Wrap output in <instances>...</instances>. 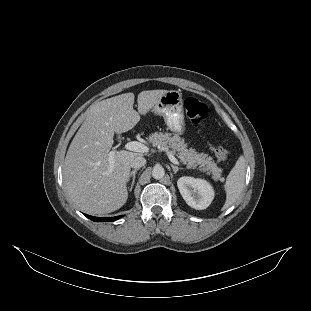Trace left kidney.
<instances>
[{"instance_id":"obj_1","label":"left kidney","mask_w":311,"mask_h":311,"mask_svg":"<svg viewBox=\"0 0 311 311\" xmlns=\"http://www.w3.org/2000/svg\"><path fill=\"white\" fill-rule=\"evenodd\" d=\"M180 194L185 202L194 209H206L213 199V190L200 179L181 177L177 181Z\"/></svg>"}]
</instances>
